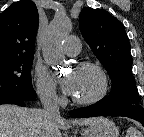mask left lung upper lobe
<instances>
[{
	"instance_id": "1",
	"label": "left lung upper lobe",
	"mask_w": 144,
	"mask_h": 137,
	"mask_svg": "<svg viewBox=\"0 0 144 137\" xmlns=\"http://www.w3.org/2000/svg\"><path fill=\"white\" fill-rule=\"evenodd\" d=\"M80 31L104 65L112 81L106 105H139V94L131 71L130 42L123 24L104 9L84 8L79 15Z\"/></svg>"
}]
</instances>
